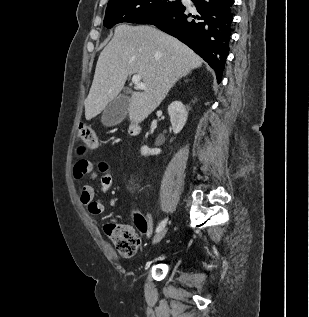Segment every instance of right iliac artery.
I'll list each match as a JSON object with an SVG mask.
<instances>
[{"instance_id": "82829eb1", "label": "right iliac artery", "mask_w": 309, "mask_h": 317, "mask_svg": "<svg viewBox=\"0 0 309 317\" xmlns=\"http://www.w3.org/2000/svg\"><path fill=\"white\" fill-rule=\"evenodd\" d=\"M166 223H167V218L161 221V223L156 228V232H159L160 230H162L165 227Z\"/></svg>"}]
</instances>
